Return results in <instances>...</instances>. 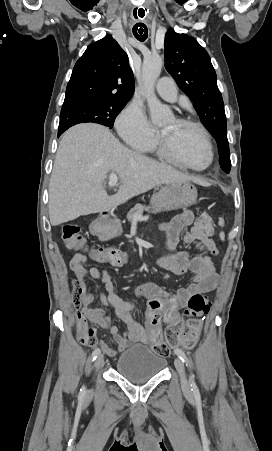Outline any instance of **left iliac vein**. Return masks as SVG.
Returning a JSON list of instances; mask_svg holds the SVG:
<instances>
[{"label": "left iliac vein", "instance_id": "4c4485c4", "mask_svg": "<svg viewBox=\"0 0 272 451\" xmlns=\"http://www.w3.org/2000/svg\"><path fill=\"white\" fill-rule=\"evenodd\" d=\"M175 367L177 369V372L179 373L181 383L184 389H189V383L187 381V378L185 376V369L184 365L182 363V360L180 358L175 359Z\"/></svg>", "mask_w": 272, "mask_h": 451}]
</instances>
